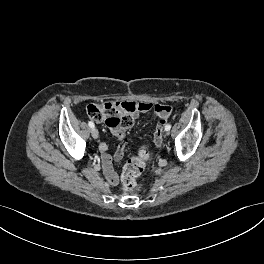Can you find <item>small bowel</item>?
<instances>
[{
  "instance_id": "1",
  "label": "small bowel",
  "mask_w": 264,
  "mask_h": 264,
  "mask_svg": "<svg viewBox=\"0 0 264 264\" xmlns=\"http://www.w3.org/2000/svg\"><path fill=\"white\" fill-rule=\"evenodd\" d=\"M126 104H131L136 107V110L133 113V118L137 117L140 113H147L152 111L154 116L157 117L159 120H165L167 122L168 118L172 113V108L169 105H162V104H152L148 102H124ZM113 130L114 135L120 140L125 142L126 137L123 131L121 130ZM156 144V143H155ZM160 146L159 144H156ZM107 144L101 143L99 146V150L101 152L102 157V164L105 176L108 182L111 185H116L118 183V175L115 172L112 163L113 160H120L123 157V147H120L114 156L107 153Z\"/></svg>"
}]
</instances>
